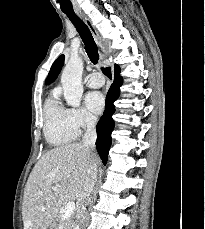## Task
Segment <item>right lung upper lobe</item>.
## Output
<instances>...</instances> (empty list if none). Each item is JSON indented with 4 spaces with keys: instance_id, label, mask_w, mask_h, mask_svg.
I'll list each match as a JSON object with an SVG mask.
<instances>
[{
    "instance_id": "right-lung-upper-lobe-1",
    "label": "right lung upper lobe",
    "mask_w": 205,
    "mask_h": 229,
    "mask_svg": "<svg viewBox=\"0 0 205 229\" xmlns=\"http://www.w3.org/2000/svg\"><path fill=\"white\" fill-rule=\"evenodd\" d=\"M64 64V55H60L57 60L53 63L51 69H50V72L47 76V79L45 81L46 84H49L51 82H53L57 75L59 74L62 66Z\"/></svg>"
}]
</instances>
